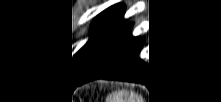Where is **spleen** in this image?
I'll return each instance as SVG.
<instances>
[{"label": "spleen", "mask_w": 221, "mask_h": 102, "mask_svg": "<svg viewBox=\"0 0 221 102\" xmlns=\"http://www.w3.org/2000/svg\"><path fill=\"white\" fill-rule=\"evenodd\" d=\"M138 95L132 90H118L110 94L107 98L108 102H135Z\"/></svg>", "instance_id": "3e777b00"}]
</instances>
